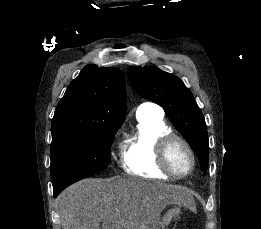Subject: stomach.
I'll list each match as a JSON object with an SVG mask.
<instances>
[{"instance_id":"stomach-1","label":"stomach","mask_w":261,"mask_h":229,"mask_svg":"<svg viewBox=\"0 0 261 229\" xmlns=\"http://www.w3.org/2000/svg\"><path fill=\"white\" fill-rule=\"evenodd\" d=\"M180 213L181 209H179V207H175V209H170V211H167L165 217L162 219V223H160V227L165 229L166 225H169L170 221L175 219V217H179ZM157 229H159V227H157Z\"/></svg>"}]
</instances>
